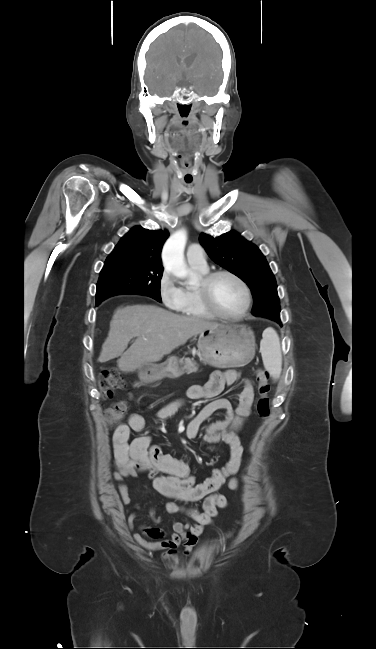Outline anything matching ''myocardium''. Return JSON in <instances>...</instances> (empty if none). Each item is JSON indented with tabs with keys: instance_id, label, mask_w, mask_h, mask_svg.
I'll return each instance as SVG.
<instances>
[{
	"instance_id": "1",
	"label": "myocardium",
	"mask_w": 376,
	"mask_h": 649,
	"mask_svg": "<svg viewBox=\"0 0 376 649\" xmlns=\"http://www.w3.org/2000/svg\"><path fill=\"white\" fill-rule=\"evenodd\" d=\"M229 276L233 278L235 281L238 282V284L241 286V288L244 291L245 295V304L243 309L238 313V314H227L223 311H221L213 302L212 296H211V290H212V285L215 281L216 278L219 276ZM198 293L200 300L204 306V308L211 313L212 315L219 317L221 319L225 320H230V321H238L243 319L249 312L250 307H251V302H252V294L249 285L247 282L239 276L237 273L227 270V269H220V270H215L212 272H208L205 275H203L198 283L197 286Z\"/></svg>"
}]
</instances>
